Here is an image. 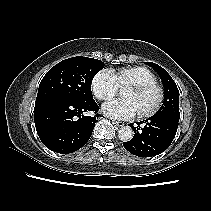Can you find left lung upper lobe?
Masks as SVG:
<instances>
[{
    "instance_id": "obj_1",
    "label": "left lung upper lobe",
    "mask_w": 211,
    "mask_h": 211,
    "mask_svg": "<svg viewBox=\"0 0 211 211\" xmlns=\"http://www.w3.org/2000/svg\"><path fill=\"white\" fill-rule=\"evenodd\" d=\"M152 67L161 77L164 86V102L155 115L166 116L179 121V90L172 77L159 65L145 62Z\"/></svg>"
}]
</instances>
